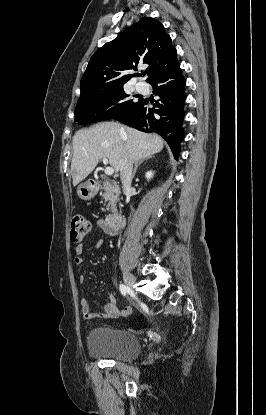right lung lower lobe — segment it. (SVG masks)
Instances as JSON below:
<instances>
[{
  "label": "right lung lower lobe",
  "mask_w": 266,
  "mask_h": 415,
  "mask_svg": "<svg viewBox=\"0 0 266 415\" xmlns=\"http://www.w3.org/2000/svg\"><path fill=\"white\" fill-rule=\"evenodd\" d=\"M159 100L150 108L149 101L141 98L136 105L113 119L147 133H158L169 144L174 156L180 152L184 139L185 84L180 65L155 77L149 82Z\"/></svg>",
  "instance_id": "obj_1"
}]
</instances>
